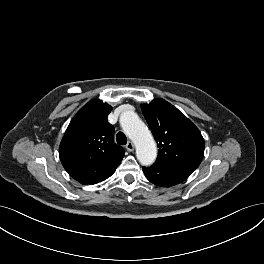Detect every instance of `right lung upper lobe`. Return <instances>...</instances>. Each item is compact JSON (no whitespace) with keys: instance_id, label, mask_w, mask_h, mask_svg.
<instances>
[{"instance_id":"obj_1","label":"right lung upper lobe","mask_w":264,"mask_h":264,"mask_svg":"<svg viewBox=\"0 0 264 264\" xmlns=\"http://www.w3.org/2000/svg\"><path fill=\"white\" fill-rule=\"evenodd\" d=\"M112 107L93 99L70 122L60 143L62 165L82 184H94L120 164L124 150L113 142L114 127L107 117Z\"/></svg>"}]
</instances>
